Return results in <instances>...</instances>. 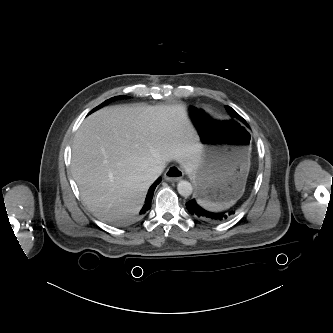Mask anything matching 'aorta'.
Returning <instances> with one entry per match:
<instances>
[{"instance_id":"aorta-1","label":"aorta","mask_w":333,"mask_h":333,"mask_svg":"<svg viewBox=\"0 0 333 333\" xmlns=\"http://www.w3.org/2000/svg\"><path fill=\"white\" fill-rule=\"evenodd\" d=\"M177 190L181 196L189 197L192 194L193 188L188 181L180 180L177 184Z\"/></svg>"}]
</instances>
